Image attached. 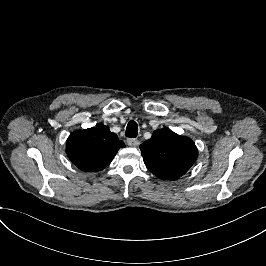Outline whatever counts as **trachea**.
Instances as JSON below:
<instances>
[{
    "mask_svg": "<svg viewBox=\"0 0 266 266\" xmlns=\"http://www.w3.org/2000/svg\"><path fill=\"white\" fill-rule=\"evenodd\" d=\"M138 135V126L135 121H130L126 128V136L129 138H135Z\"/></svg>",
    "mask_w": 266,
    "mask_h": 266,
    "instance_id": "trachea-1",
    "label": "trachea"
}]
</instances>
